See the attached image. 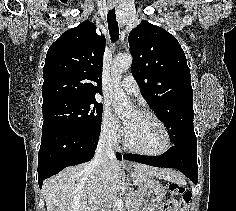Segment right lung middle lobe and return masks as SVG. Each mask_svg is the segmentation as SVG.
Returning <instances> with one entry per match:
<instances>
[{
	"label": "right lung middle lobe",
	"mask_w": 236,
	"mask_h": 211,
	"mask_svg": "<svg viewBox=\"0 0 236 211\" xmlns=\"http://www.w3.org/2000/svg\"><path fill=\"white\" fill-rule=\"evenodd\" d=\"M42 109L43 127L66 126L100 134L103 105L95 99L61 98L43 104Z\"/></svg>",
	"instance_id": "dd1d6c3e"
}]
</instances>
